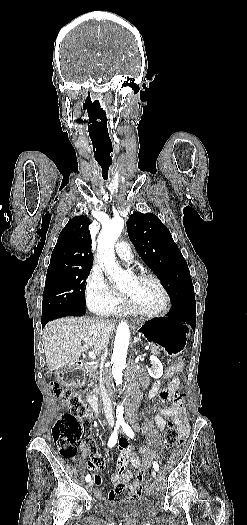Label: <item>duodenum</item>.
I'll list each match as a JSON object with an SVG mask.
<instances>
[{"mask_svg": "<svg viewBox=\"0 0 247 525\" xmlns=\"http://www.w3.org/2000/svg\"><path fill=\"white\" fill-rule=\"evenodd\" d=\"M85 361L78 359L73 363V366L63 373L64 380L70 385H77L80 382L79 372L85 368ZM88 403L94 412H100V401L95 395H89Z\"/></svg>", "mask_w": 247, "mask_h": 525, "instance_id": "1", "label": "duodenum"}]
</instances>
